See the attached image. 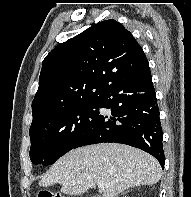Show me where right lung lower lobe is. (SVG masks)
<instances>
[{"mask_svg": "<svg viewBox=\"0 0 191 197\" xmlns=\"http://www.w3.org/2000/svg\"><path fill=\"white\" fill-rule=\"evenodd\" d=\"M98 115L74 148L115 142L153 155L164 168L163 133L149 65L108 87L98 99ZM99 108L111 110L101 115Z\"/></svg>", "mask_w": 191, "mask_h": 197, "instance_id": "1", "label": "right lung lower lobe"}]
</instances>
